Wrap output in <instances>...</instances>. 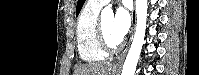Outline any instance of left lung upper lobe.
Wrapping results in <instances>:
<instances>
[{"mask_svg": "<svg viewBox=\"0 0 199 75\" xmlns=\"http://www.w3.org/2000/svg\"><path fill=\"white\" fill-rule=\"evenodd\" d=\"M85 0H78L77 7H76V16L80 13V10L84 4Z\"/></svg>", "mask_w": 199, "mask_h": 75, "instance_id": "left-lung-upper-lobe-1", "label": "left lung upper lobe"}]
</instances>
